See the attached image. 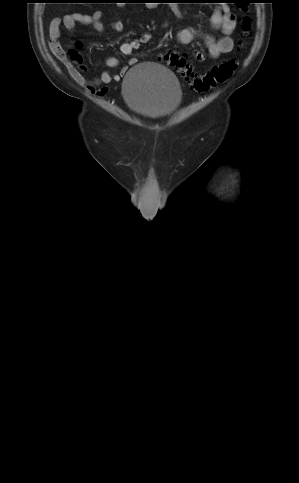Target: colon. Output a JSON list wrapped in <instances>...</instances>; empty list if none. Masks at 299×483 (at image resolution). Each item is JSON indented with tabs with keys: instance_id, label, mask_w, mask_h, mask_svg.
<instances>
[{
	"instance_id": "obj_1",
	"label": "colon",
	"mask_w": 299,
	"mask_h": 483,
	"mask_svg": "<svg viewBox=\"0 0 299 483\" xmlns=\"http://www.w3.org/2000/svg\"><path fill=\"white\" fill-rule=\"evenodd\" d=\"M250 27L251 25L249 19L246 18L242 24L243 33L248 34ZM69 55L72 61L71 73L80 74V72L84 69L82 64V56L76 49L70 50ZM164 58L171 66L175 67L190 83L191 87L198 92H206L216 88L220 84H223L232 76L237 67L236 60L230 59L214 66L206 74L199 75L194 71L193 67L186 62L185 58L178 53H166Z\"/></svg>"
}]
</instances>
